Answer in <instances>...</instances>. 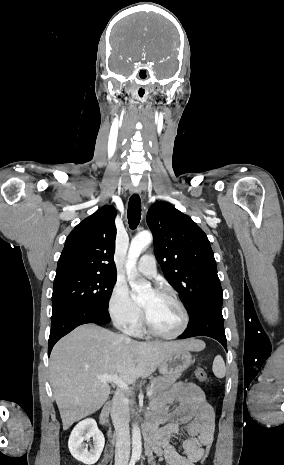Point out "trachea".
<instances>
[{
    "mask_svg": "<svg viewBox=\"0 0 284 465\" xmlns=\"http://www.w3.org/2000/svg\"><path fill=\"white\" fill-rule=\"evenodd\" d=\"M141 220V200L139 195L130 197L128 204V223L131 229H135Z\"/></svg>",
    "mask_w": 284,
    "mask_h": 465,
    "instance_id": "trachea-1",
    "label": "trachea"
}]
</instances>
